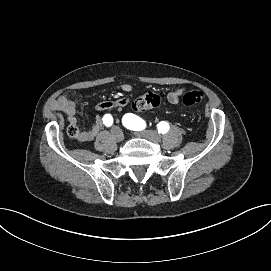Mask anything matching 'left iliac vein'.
<instances>
[{"label":"left iliac vein","mask_w":271,"mask_h":271,"mask_svg":"<svg viewBox=\"0 0 271 271\" xmlns=\"http://www.w3.org/2000/svg\"><path fill=\"white\" fill-rule=\"evenodd\" d=\"M136 135L148 139L152 142H156V143H160L161 142V136L154 131H141V132H137Z\"/></svg>","instance_id":"left-iliac-vein-1"}]
</instances>
